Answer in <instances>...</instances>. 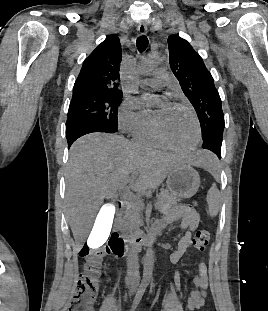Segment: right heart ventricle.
I'll list each match as a JSON object with an SVG mask.
<instances>
[{
    "label": "right heart ventricle",
    "mask_w": 268,
    "mask_h": 311,
    "mask_svg": "<svg viewBox=\"0 0 268 311\" xmlns=\"http://www.w3.org/2000/svg\"><path fill=\"white\" fill-rule=\"evenodd\" d=\"M134 139L136 142L149 147L163 146L155 135L153 125L134 135Z\"/></svg>",
    "instance_id": "1"
}]
</instances>
